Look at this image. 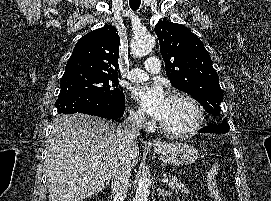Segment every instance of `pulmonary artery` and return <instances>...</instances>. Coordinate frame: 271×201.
Here are the masks:
<instances>
[{
  "label": "pulmonary artery",
  "mask_w": 271,
  "mask_h": 201,
  "mask_svg": "<svg viewBox=\"0 0 271 201\" xmlns=\"http://www.w3.org/2000/svg\"><path fill=\"white\" fill-rule=\"evenodd\" d=\"M160 72V62L157 57H149L145 62V69H132L127 78L131 82H142L149 78L151 74H158Z\"/></svg>",
  "instance_id": "e3ab8cb5"
}]
</instances>
